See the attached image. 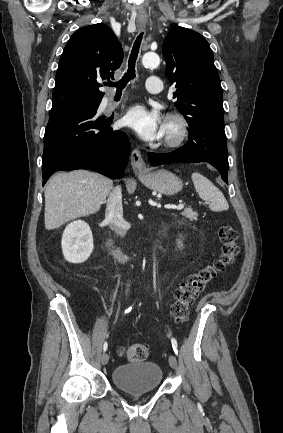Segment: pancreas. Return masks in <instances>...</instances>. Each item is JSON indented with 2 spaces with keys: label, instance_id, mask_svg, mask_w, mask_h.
Segmentation results:
<instances>
[{
  "label": "pancreas",
  "instance_id": "cf45deb5",
  "mask_svg": "<svg viewBox=\"0 0 283 433\" xmlns=\"http://www.w3.org/2000/svg\"><path fill=\"white\" fill-rule=\"evenodd\" d=\"M182 214H184V217H186V219H196L197 217V212H195V210H193V208H184Z\"/></svg>",
  "mask_w": 283,
  "mask_h": 433
}]
</instances>
